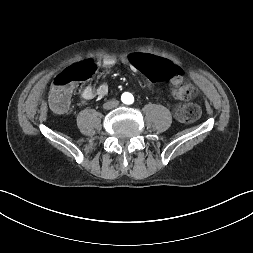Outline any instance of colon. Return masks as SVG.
<instances>
[{
  "instance_id": "obj_1",
  "label": "colon",
  "mask_w": 253,
  "mask_h": 253,
  "mask_svg": "<svg viewBox=\"0 0 253 253\" xmlns=\"http://www.w3.org/2000/svg\"><path fill=\"white\" fill-rule=\"evenodd\" d=\"M129 61L133 67L151 79L177 82L183 76L182 67L168 60L156 58L148 53H132ZM96 71V64L87 60L64 70L53 81L51 89V103L55 110L63 112L67 110L70 101L71 86L75 83L88 80ZM195 93V89L188 83L179 82L174 86L173 94L180 100H187ZM201 115V109L197 104L186 103L176 109V117L179 121L190 123L196 121Z\"/></svg>"
}]
</instances>
